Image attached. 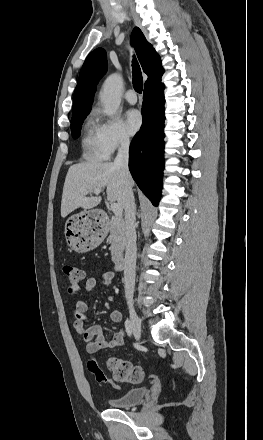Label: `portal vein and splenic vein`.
<instances>
[{"label":"portal vein and splenic vein","instance_id":"obj_1","mask_svg":"<svg viewBox=\"0 0 263 440\" xmlns=\"http://www.w3.org/2000/svg\"><path fill=\"white\" fill-rule=\"evenodd\" d=\"M92 193H94L95 195H99L101 193L100 190H95ZM86 194H89L88 192H86ZM112 212L116 215V216H121L123 213V209L122 207L118 204V203H111L110 205Z\"/></svg>","mask_w":263,"mask_h":440}]
</instances>
